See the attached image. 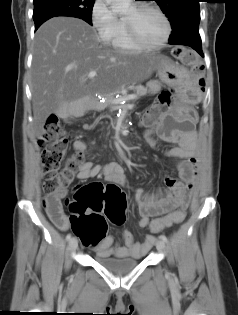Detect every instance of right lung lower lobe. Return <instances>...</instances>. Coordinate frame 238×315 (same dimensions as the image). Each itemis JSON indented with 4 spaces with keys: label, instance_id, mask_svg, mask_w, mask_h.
Instances as JSON below:
<instances>
[{
    "label": "right lung lower lobe",
    "instance_id": "obj_1",
    "mask_svg": "<svg viewBox=\"0 0 238 315\" xmlns=\"http://www.w3.org/2000/svg\"><path fill=\"white\" fill-rule=\"evenodd\" d=\"M52 17H55V15H50V16H45V17H42V18H39L37 20H35V30L38 29V27L43 23L45 22L46 20L52 18Z\"/></svg>",
    "mask_w": 238,
    "mask_h": 315
}]
</instances>
